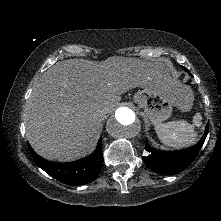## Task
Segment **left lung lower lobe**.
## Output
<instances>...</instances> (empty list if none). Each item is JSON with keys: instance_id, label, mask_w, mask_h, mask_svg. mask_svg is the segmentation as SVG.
Returning a JSON list of instances; mask_svg holds the SVG:
<instances>
[{"instance_id": "left-lung-lower-lobe-1", "label": "left lung lower lobe", "mask_w": 221, "mask_h": 221, "mask_svg": "<svg viewBox=\"0 0 221 221\" xmlns=\"http://www.w3.org/2000/svg\"><path fill=\"white\" fill-rule=\"evenodd\" d=\"M188 73L189 71L184 68ZM190 74V73H189ZM209 131V123L201 140L194 146L179 151H158L152 149L146 142L145 150L150 154L142 157L145 165L152 171L160 174H176L185 170L195 159L201 149Z\"/></svg>"}]
</instances>
